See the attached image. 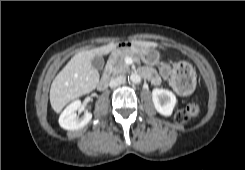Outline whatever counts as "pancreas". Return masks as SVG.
<instances>
[{
	"label": "pancreas",
	"mask_w": 245,
	"mask_h": 170,
	"mask_svg": "<svg viewBox=\"0 0 245 170\" xmlns=\"http://www.w3.org/2000/svg\"><path fill=\"white\" fill-rule=\"evenodd\" d=\"M126 57H132L135 61H139L138 57H136L131 52H118L114 57L113 63L111 65V73L113 76L124 75L125 73L129 72V65L125 63Z\"/></svg>",
	"instance_id": "1"
}]
</instances>
